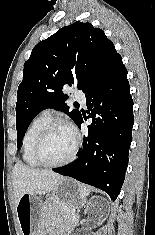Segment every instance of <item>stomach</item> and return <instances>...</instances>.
Returning <instances> with one entry per match:
<instances>
[{"label":"stomach","mask_w":155,"mask_h":235,"mask_svg":"<svg viewBox=\"0 0 155 235\" xmlns=\"http://www.w3.org/2000/svg\"><path fill=\"white\" fill-rule=\"evenodd\" d=\"M86 195L80 184L70 178L61 179L52 190L46 202L35 194H24L16 206V214L22 235H45V207L51 206L58 211L59 207L68 210L84 206Z\"/></svg>","instance_id":"stomach-1"}]
</instances>
